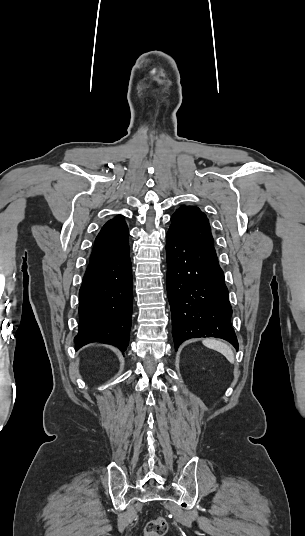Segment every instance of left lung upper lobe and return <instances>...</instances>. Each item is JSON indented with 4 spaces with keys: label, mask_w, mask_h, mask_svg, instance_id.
Wrapping results in <instances>:
<instances>
[{
    "label": "left lung upper lobe",
    "mask_w": 305,
    "mask_h": 536,
    "mask_svg": "<svg viewBox=\"0 0 305 536\" xmlns=\"http://www.w3.org/2000/svg\"><path fill=\"white\" fill-rule=\"evenodd\" d=\"M171 222L168 231L196 244L214 246L209 221L198 207L181 206L172 215Z\"/></svg>",
    "instance_id": "left-lung-upper-lobe-1"
}]
</instances>
